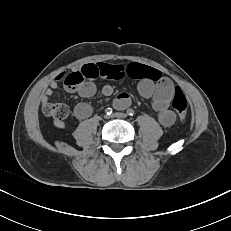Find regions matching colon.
I'll return each instance as SVG.
<instances>
[{
  "instance_id": "obj_1",
  "label": "colon",
  "mask_w": 231,
  "mask_h": 231,
  "mask_svg": "<svg viewBox=\"0 0 231 231\" xmlns=\"http://www.w3.org/2000/svg\"><path fill=\"white\" fill-rule=\"evenodd\" d=\"M148 73L153 80H158L161 77L160 73L154 69H149ZM83 81L84 78L80 72H72L64 78V86L68 91H75L82 85ZM172 106L178 117L181 120L185 119L188 102L184 93L178 87H176L174 91ZM42 111L44 114L53 117L57 121H63L69 115L67 106L64 104L51 103L50 101L42 102Z\"/></svg>"
}]
</instances>
